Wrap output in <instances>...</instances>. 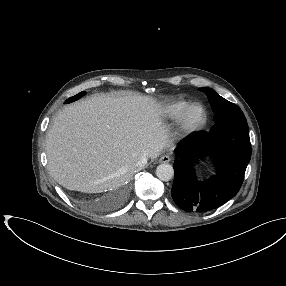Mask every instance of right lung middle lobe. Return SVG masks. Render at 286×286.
<instances>
[{
  "label": "right lung middle lobe",
  "mask_w": 286,
  "mask_h": 286,
  "mask_svg": "<svg viewBox=\"0 0 286 286\" xmlns=\"http://www.w3.org/2000/svg\"><path fill=\"white\" fill-rule=\"evenodd\" d=\"M86 93L83 91V92H80L79 94L73 96V97H70L69 99L66 100L65 103H71L73 101H76L78 99H80L81 97H83Z\"/></svg>",
  "instance_id": "dd1d6c3e"
}]
</instances>
